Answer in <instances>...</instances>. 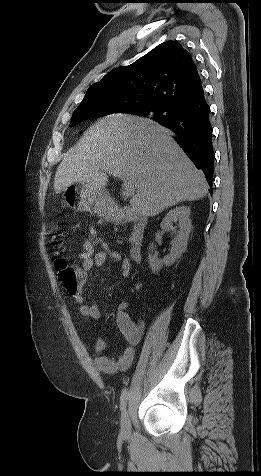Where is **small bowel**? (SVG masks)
I'll return each mask as SVG.
<instances>
[{"mask_svg": "<svg viewBox=\"0 0 261 476\" xmlns=\"http://www.w3.org/2000/svg\"><path fill=\"white\" fill-rule=\"evenodd\" d=\"M90 236L82 243V251L78 254L81 260V266L78 268L80 284L78 289L69 293L79 306L80 314L86 320H97L101 317V311L96 303H88L83 293L89 272L94 267H103L108 259L120 264L121 276L127 278L131 275L132 264L129 259L122 257L117 251L111 249L104 241L94 226L89 227ZM99 250L95 252V248ZM130 302L123 300L118 305L116 314V324L124 335L127 347L124 352L118 356L108 354V345L101 339L96 338L93 343L94 364L100 371L105 373H116L127 371L135 358L136 347L142 340L144 325L142 322H134L129 313Z\"/></svg>", "mask_w": 261, "mask_h": 476, "instance_id": "1", "label": "small bowel"}]
</instances>
